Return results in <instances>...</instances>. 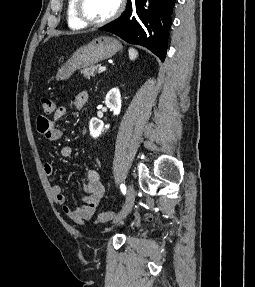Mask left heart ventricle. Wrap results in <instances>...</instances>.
I'll return each instance as SVG.
<instances>
[{"mask_svg": "<svg viewBox=\"0 0 255 287\" xmlns=\"http://www.w3.org/2000/svg\"><path fill=\"white\" fill-rule=\"evenodd\" d=\"M94 33H113V32H94ZM97 39H109V38H97ZM99 48H122V47H99Z\"/></svg>", "mask_w": 255, "mask_h": 287, "instance_id": "left-heart-ventricle-1", "label": "left heart ventricle"}]
</instances>
